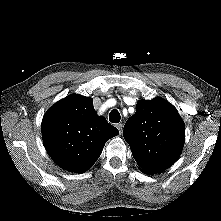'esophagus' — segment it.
I'll return each instance as SVG.
<instances>
[{"instance_id": "obj_1", "label": "esophagus", "mask_w": 221, "mask_h": 221, "mask_svg": "<svg viewBox=\"0 0 221 221\" xmlns=\"http://www.w3.org/2000/svg\"><path fill=\"white\" fill-rule=\"evenodd\" d=\"M116 127L118 128V130H119V132L121 134L122 131H123V124L119 123V124L116 125Z\"/></svg>"}]
</instances>
